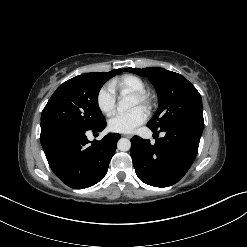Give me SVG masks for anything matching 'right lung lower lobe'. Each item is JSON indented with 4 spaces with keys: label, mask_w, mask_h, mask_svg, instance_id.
<instances>
[{
    "label": "right lung lower lobe",
    "mask_w": 247,
    "mask_h": 247,
    "mask_svg": "<svg viewBox=\"0 0 247 247\" xmlns=\"http://www.w3.org/2000/svg\"><path fill=\"white\" fill-rule=\"evenodd\" d=\"M105 126L106 121L88 130L101 132ZM86 131L60 127L41 131L40 135L50 168L63 183L75 189L93 186L106 175L120 138L117 133H109L101 141L90 142Z\"/></svg>",
    "instance_id": "right-lung-lower-lobe-1"
}]
</instances>
